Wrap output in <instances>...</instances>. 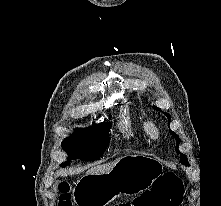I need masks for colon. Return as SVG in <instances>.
Instances as JSON below:
<instances>
[{
	"label": "colon",
	"mask_w": 221,
	"mask_h": 206,
	"mask_svg": "<svg viewBox=\"0 0 221 206\" xmlns=\"http://www.w3.org/2000/svg\"><path fill=\"white\" fill-rule=\"evenodd\" d=\"M58 206H72L70 187L66 182H60L58 186ZM183 183L166 174L157 179L150 190H146L132 203L124 202L116 206H179L182 200Z\"/></svg>",
	"instance_id": "5ec220e1"
}]
</instances>
